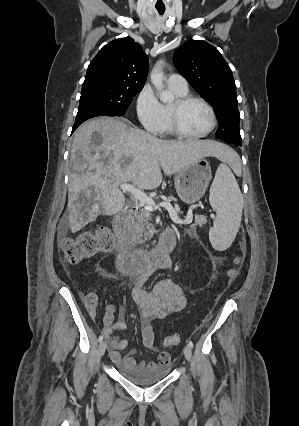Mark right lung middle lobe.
I'll use <instances>...</instances> for the list:
<instances>
[{"label":"right lung middle lobe","instance_id":"dd1d6c3e","mask_svg":"<svg viewBox=\"0 0 299 426\" xmlns=\"http://www.w3.org/2000/svg\"><path fill=\"white\" fill-rule=\"evenodd\" d=\"M141 90L106 83L82 85L78 111L90 107H98L124 115L132 102V98Z\"/></svg>","mask_w":299,"mask_h":426}]
</instances>
